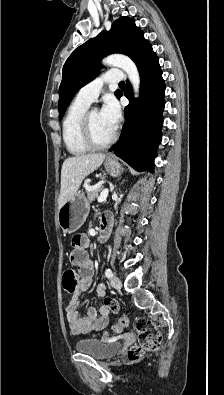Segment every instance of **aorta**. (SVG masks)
Wrapping results in <instances>:
<instances>
[{
	"label": "aorta",
	"mask_w": 224,
	"mask_h": 395,
	"mask_svg": "<svg viewBox=\"0 0 224 395\" xmlns=\"http://www.w3.org/2000/svg\"><path fill=\"white\" fill-rule=\"evenodd\" d=\"M102 63L107 66H115L122 69L128 76L132 87L134 96H139L140 76L135 63L128 57L122 54H113L103 59Z\"/></svg>",
	"instance_id": "obj_1"
}]
</instances>
